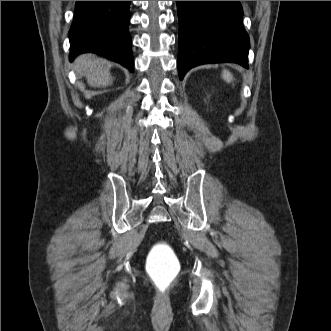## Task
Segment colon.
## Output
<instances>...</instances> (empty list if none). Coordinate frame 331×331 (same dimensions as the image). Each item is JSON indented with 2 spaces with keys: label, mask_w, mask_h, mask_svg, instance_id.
<instances>
[{
  "label": "colon",
  "mask_w": 331,
  "mask_h": 331,
  "mask_svg": "<svg viewBox=\"0 0 331 331\" xmlns=\"http://www.w3.org/2000/svg\"><path fill=\"white\" fill-rule=\"evenodd\" d=\"M146 268L160 292L168 291L180 273V263L175 253L163 242L155 244L151 249Z\"/></svg>",
  "instance_id": "obj_1"
}]
</instances>
